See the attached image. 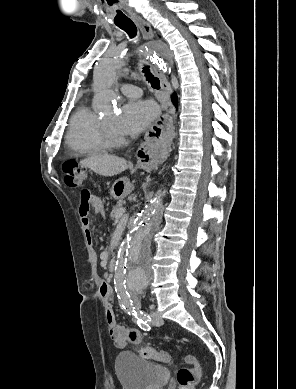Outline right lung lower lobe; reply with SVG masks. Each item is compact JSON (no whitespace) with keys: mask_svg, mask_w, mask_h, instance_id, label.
Listing matches in <instances>:
<instances>
[{"mask_svg":"<svg viewBox=\"0 0 296 389\" xmlns=\"http://www.w3.org/2000/svg\"><path fill=\"white\" fill-rule=\"evenodd\" d=\"M172 101H173L174 105L177 107L178 102H177V96L175 94L172 96Z\"/></svg>","mask_w":296,"mask_h":389,"instance_id":"98d812e1","label":"right lung lower lobe"}]
</instances>
